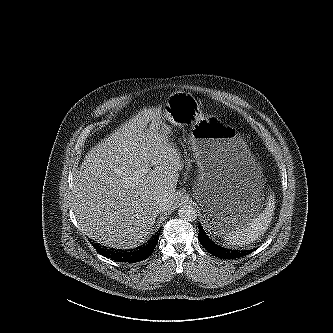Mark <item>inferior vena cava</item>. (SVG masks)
<instances>
[{"label":"inferior vena cava","mask_w":333,"mask_h":333,"mask_svg":"<svg viewBox=\"0 0 333 333\" xmlns=\"http://www.w3.org/2000/svg\"><path fill=\"white\" fill-rule=\"evenodd\" d=\"M155 209L157 213L166 211L169 209V201L164 197H157L155 201Z\"/></svg>","instance_id":"602c4592"}]
</instances>
